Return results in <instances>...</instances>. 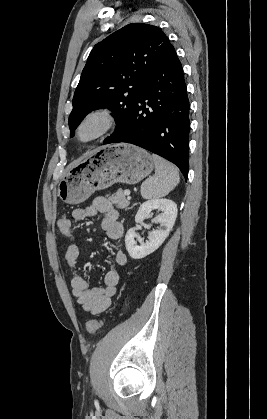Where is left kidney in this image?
<instances>
[{"label": "left kidney", "instance_id": "obj_1", "mask_svg": "<svg viewBox=\"0 0 267 419\" xmlns=\"http://www.w3.org/2000/svg\"><path fill=\"white\" fill-rule=\"evenodd\" d=\"M154 209L162 212L152 219V223L160 224V228L149 232L148 241L145 243L141 242L140 245H137V242L135 241V238L137 237L135 229L131 228L126 233V249L133 259L144 258L157 250L168 237L174 226L178 212L177 205L172 200L163 198L152 199L142 203L135 216V222L140 223L144 218L148 217L150 212Z\"/></svg>", "mask_w": 267, "mask_h": 419}]
</instances>
